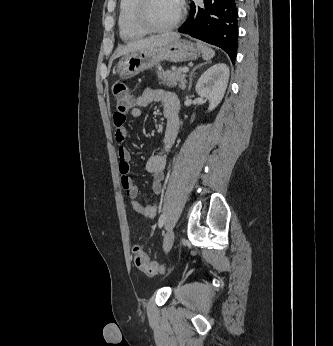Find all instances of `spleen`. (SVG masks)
I'll return each mask as SVG.
<instances>
[{"instance_id": "3e777b00", "label": "spleen", "mask_w": 333, "mask_h": 346, "mask_svg": "<svg viewBox=\"0 0 333 346\" xmlns=\"http://www.w3.org/2000/svg\"><path fill=\"white\" fill-rule=\"evenodd\" d=\"M197 45L200 48L202 56L205 60H209L214 57L215 52L213 49H211L210 47H208L207 45L201 42H198Z\"/></svg>"}]
</instances>
